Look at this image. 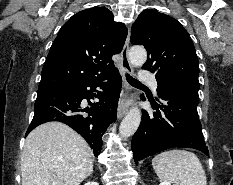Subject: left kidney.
Returning a JSON list of instances; mask_svg holds the SVG:
<instances>
[{
    "mask_svg": "<svg viewBox=\"0 0 233 185\" xmlns=\"http://www.w3.org/2000/svg\"><path fill=\"white\" fill-rule=\"evenodd\" d=\"M160 185H171V184L167 182H161Z\"/></svg>",
    "mask_w": 233,
    "mask_h": 185,
    "instance_id": "1",
    "label": "left kidney"
}]
</instances>
